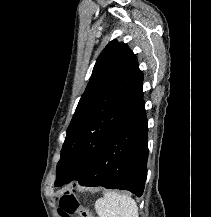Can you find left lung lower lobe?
<instances>
[{"instance_id": "obj_1", "label": "left lung lower lobe", "mask_w": 211, "mask_h": 217, "mask_svg": "<svg viewBox=\"0 0 211 217\" xmlns=\"http://www.w3.org/2000/svg\"><path fill=\"white\" fill-rule=\"evenodd\" d=\"M148 125L145 107L119 126L75 177L82 186L129 190L140 197L147 178Z\"/></svg>"}]
</instances>
